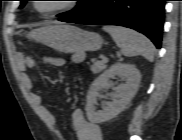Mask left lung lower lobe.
I'll return each instance as SVG.
<instances>
[{"instance_id": "0a47b994", "label": "left lung lower lobe", "mask_w": 182, "mask_h": 140, "mask_svg": "<svg viewBox=\"0 0 182 140\" xmlns=\"http://www.w3.org/2000/svg\"><path fill=\"white\" fill-rule=\"evenodd\" d=\"M165 2L166 0H102L91 13L70 22L132 28L150 38L159 49L162 40Z\"/></svg>"}]
</instances>
